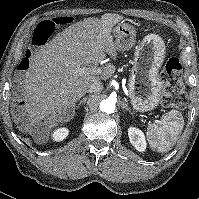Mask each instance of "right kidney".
<instances>
[{
	"label": "right kidney",
	"instance_id": "1",
	"mask_svg": "<svg viewBox=\"0 0 199 199\" xmlns=\"http://www.w3.org/2000/svg\"><path fill=\"white\" fill-rule=\"evenodd\" d=\"M68 133L69 130L67 128H59L56 129L51 136L53 141L59 142L64 140L67 137Z\"/></svg>",
	"mask_w": 199,
	"mask_h": 199
}]
</instances>
